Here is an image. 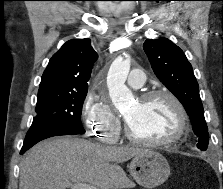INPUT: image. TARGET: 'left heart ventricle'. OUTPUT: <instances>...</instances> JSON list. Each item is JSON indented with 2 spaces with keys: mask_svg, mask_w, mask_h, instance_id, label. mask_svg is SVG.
Returning <instances> with one entry per match:
<instances>
[{
  "mask_svg": "<svg viewBox=\"0 0 223 189\" xmlns=\"http://www.w3.org/2000/svg\"><path fill=\"white\" fill-rule=\"evenodd\" d=\"M133 132L138 136L158 139L172 136L178 129V113L165 97L146 102L136 101L125 112Z\"/></svg>",
  "mask_w": 223,
  "mask_h": 189,
  "instance_id": "left-heart-ventricle-1",
  "label": "left heart ventricle"
}]
</instances>
